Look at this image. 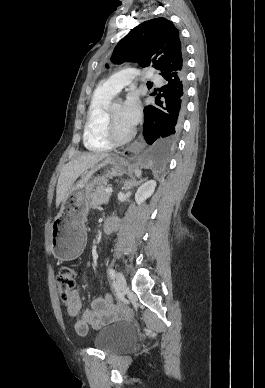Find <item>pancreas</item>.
<instances>
[{
	"label": "pancreas",
	"instance_id": "pancreas-1",
	"mask_svg": "<svg viewBox=\"0 0 265 388\" xmlns=\"http://www.w3.org/2000/svg\"><path fill=\"white\" fill-rule=\"evenodd\" d=\"M109 198V194L105 192V186H103L102 182H99L97 188L93 190V194H90L91 206L99 208L101 204H107Z\"/></svg>",
	"mask_w": 265,
	"mask_h": 388
}]
</instances>
